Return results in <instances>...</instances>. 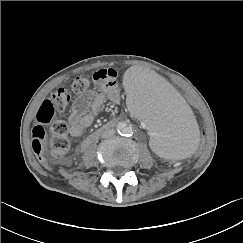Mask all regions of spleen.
<instances>
[{
    "label": "spleen",
    "instance_id": "obj_1",
    "mask_svg": "<svg viewBox=\"0 0 243 243\" xmlns=\"http://www.w3.org/2000/svg\"><path fill=\"white\" fill-rule=\"evenodd\" d=\"M130 112L143 122L148 141L160 157L180 159L194 151L199 129L184 97L159 72L138 69L123 84Z\"/></svg>",
    "mask_w": 243,
    "mask_h": 243
}]
</instances>
